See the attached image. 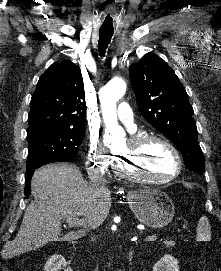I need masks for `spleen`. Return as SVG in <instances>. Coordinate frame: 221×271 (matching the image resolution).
Masks as SVG:
<instances>
[{
    "label": "spleen",
    "mask_w": 221,
    "mask_h": 271,
    "mask_svg": "<svg viewBox=\"0 0 221 271\" xmlns=\"http://www.w3.org/2000/svg\"><path fill=\"white\" fill-rule=\"evenodd\" d=\"M211 239V227L208 217L203 215L200 217L197 225V241H210Z\"/></svg>",
    "instance_id": "obj_1"
}]
</instances>
